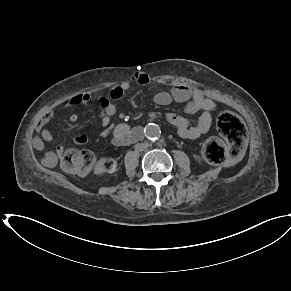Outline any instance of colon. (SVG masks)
Here are the masks:
<instances>
[{
    "label": "colon",
    "mask_w": 291,
    "mask_h": 291,
    "mask_svg": "<svg viewBox=\"0 0 291 291\" xmlns=\"http://www.w3.org/2000/svg\"><path fill=\"white\" fill-rule=\"evenodd\" d=\"M217 129L226 142L218 137L209 138L203 147V156L211 164L222 165L239 157L245 144L247 130L240 117L231 111H222L217 117ZM95 162L91 150L70 149L61 156L62 168L71 174L87 175Z\"/></svg>",
    "instance_id": "1"
}]
</instances>
